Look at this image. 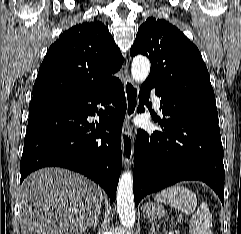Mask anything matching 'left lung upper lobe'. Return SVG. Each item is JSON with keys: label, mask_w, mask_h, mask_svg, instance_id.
Returning a JSON list of instances; mask_svg holds the SVG:
<instances>
[{"label": "left lung upper lobe", "mask_w": 241, "mask_h": 234, "mask_svg": "<svg viewBox=\"0 0 241 234\" xmlns=\"http://www.w3.org/2000/svg\"><path fill=\"white\" fill-rule=\"evenodd\" d=\"M151 62L147 80L166 94L216 109L208 70L198 48L164 19L148 18L138 29L130 55Z\"/></svg>", "instance_id": "left-lung-upper-lobe-1"}]
</instances>
